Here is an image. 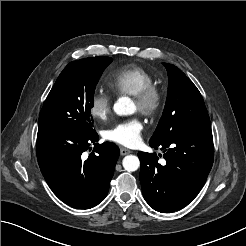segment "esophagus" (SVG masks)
Listing matches in <instances>:
<instances>
[{
	"instance_id": "obj_1",
	"label": "esophagus",
	"mask_w": 246,
	"mask_h": 246,
	"mask_svg": "<svg viewBox=\"0 0 246 246\" xmlns=\"http://www.w3.org/2000/svg\"><path fill=\"white\" fill-rule=\"evenodd\" d=\"M129 153H131V151L129 149H126V148H123V147L120 148V154L122 156L127 155Z\"/></svg>"
}]
</instances>
